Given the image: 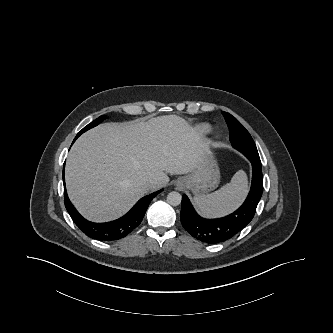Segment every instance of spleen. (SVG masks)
Here are the masks:
<instances>
[{
  "mask_svg": "<svg viewBox=\"0 0 333 333\" xmlns=\"http://www.w3.org/2000/svg\"><path fill=\"white\" fill-rule=\"evenodd\" d=\"M248 189L247 176L237 171L230 183L208 195H197L194 203L199 212L207 217H219L235 210L244 200Z\"/></svg>",
  "mask_w": 333,
  "mask_h": 333,
  "instance_id": "spleen-1",
  "label": "spleen"
}]
</instances>
